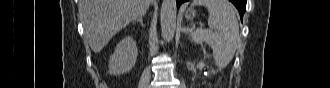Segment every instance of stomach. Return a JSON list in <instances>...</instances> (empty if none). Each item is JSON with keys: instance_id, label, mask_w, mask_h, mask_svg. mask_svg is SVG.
<instances>
[{"instance_id": "stomach-1", "label": "stomach", "mask_w": 330, "mask_h": 88, "mask_svg": "<svg viewBox=\"0 0 330 88\" xmlns=\"http://www.w3.org/2000/svg\"><path fill=\"white\" fill-rule=\"evenodd\" d=\"M195 11L192 10V9H189L187 12H186V18L187 19H193L195 17Z\"/></svg>"}]
</instances>
